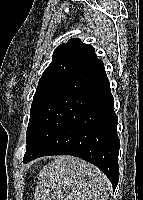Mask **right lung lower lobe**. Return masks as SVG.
Returning <instances> with one entry per match:
<instances>
[{
	"label": "right lung lower lobe",
	"instance_id": "obj_1",
	"mask_svg": "<svg viewBox=\"0 0 143 200\" xmlns=\"http://www.w3.org/2000/svg\"><path fill=\"white\" fill-rule=\"evenodd\" d=\"M118 117L101 60L66 77L37 109L26 134L23 163L72 155L97 166L115 190L119 180Z\"/></svg>",
	"mask_w": 143,
	"mask_h": 200
}]
</instances>
